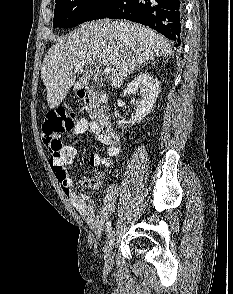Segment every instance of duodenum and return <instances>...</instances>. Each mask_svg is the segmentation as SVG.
I'll use <instances>...</instances> for the list:
<instances>
[{
    "instance_id": "duodenum-1",
    "label": "duodenum",
    "mask_w": 233,
    "mask_h": 294,
    "mask_svg": "<svg viewBox=\"0 0 233 294\" xmlns=\"http://www.w3.org/2000/svg\"><path fill=\"white\" fill-rule=\"evenodd\" d=\"M78 96L88 108L93 109L97 106V103H98L97 96L90 89L88 88L79 89ZM96 114H97L98 122L100 124L102 131L108 136L115 137V132L113 130L108 113L103 108H99L96 111Z\"/></svg>"
}]
</instances>
